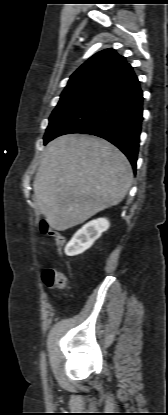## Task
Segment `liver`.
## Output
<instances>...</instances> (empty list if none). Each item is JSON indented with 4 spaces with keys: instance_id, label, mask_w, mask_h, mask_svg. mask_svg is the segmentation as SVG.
I'll list each match as a JSON object with an SVG mask.
<instances>
[{
    "instance_id": "6515ba94",
    "label": "liver",
    "mask_w": 168,
    "mask_h": 415,
    "mask_svg": "<svg viewBox=\"0 0 168 415\" xmlns=\"http://www.w3.org/2000/svg\"><path fill=\"white\" fill-rule=\"evenodd\" d=\"M133 180L126 156L91 135H64L51 141L33 182L36 205L48 225L64 231L119 204Z\"/></svg>"
}]
</instances>
